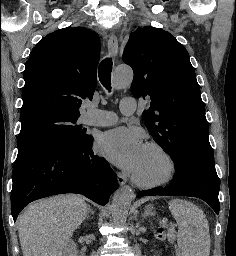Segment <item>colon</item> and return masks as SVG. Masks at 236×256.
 Wrapping results in <instances>:
<instances>
[{"instance_id": "colon-1", "label": "colon", "mask_w": 236, "mask_h": 256, "mask_svg": "<svg viewBox=\"0 0 236 256\" xmlns=\"http://www.w3.org/2000/svg\"><path fill=\"white\" fill-rule=\"evenodd\" d=\"M158 235H159V236L161 235V231H160V230H158Z\"/></svg>"}]
</instances>
